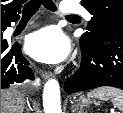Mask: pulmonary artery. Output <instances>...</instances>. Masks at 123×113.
<instances>
[{
  "instance_id": "obj_1",
  "label": "pulmonary artery",
  "mask_w": 123,
  "mask_h": 113,
  "mask_svg": "<svg viewBox=\"0 0 123 113\" xmlns=\"http://www.w3.org/2000/svg\"><path fill=\"white\" fill-rule=\"evenodd\" d=\"M61 10L65 14L81 13L87 19H90V14L85 11L77 2L74 1H62Z\"/></svg>"
}]
</instances>
